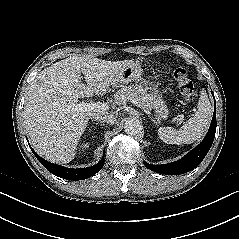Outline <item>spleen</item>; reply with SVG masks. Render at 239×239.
I'll use <instances>...</instances> for the list:
<instances>
[{"instance_id": "spleen-1", "label": "spleen", "mask_w": 239, "mask_h": 239, "mask_svg": "<svg viewBox=\"0 0 239 239\" xmlns=\"http://www.w3.org/2000/svg\"><path fill=\"white\" fill-rule=\"evenodd\" d=\"M213 107L209 101L206 91L200 92L197 111L189 118L180 130L172 127H160L159 138L167 144H191L200 139L210 125Z\"/></svg>"}]
</instances>
